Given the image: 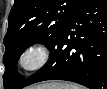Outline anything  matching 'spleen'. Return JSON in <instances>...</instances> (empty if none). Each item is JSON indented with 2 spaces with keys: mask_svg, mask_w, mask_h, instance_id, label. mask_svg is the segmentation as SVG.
Wrapping results in <instances>:
<instances>
[{
  "mask_svg": "<svg viewBox=\"0 0 107 89\" xmlns=\"http://www.w3.org/2000/svg\"><path fill=\"white\" fill-rule=\"evenodd\" d=\"M61 89H81V86L74 84H63Z\"/></svg>",
  "mask_w": 107,
  "mask_h": 89,
  "instance_id": "1",
  "label": "spleen"
}]
</instances>
